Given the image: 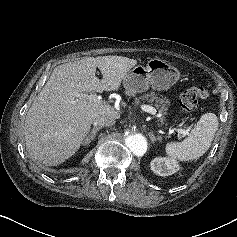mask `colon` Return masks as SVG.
I'll use <instances>...</instances> for the list:
<instances>
[{"mask_svg": "<svg viewBox=\"0 0 237 237\" xmlns=\"http://www.w3.org/2000/svg\"><path fill=\"white\" fill-rule=\"evenodd\" d=\"M210 98V92L203 87H191L185 90L180 97V107L183 112L191 113L197 110L198 100H207Z\"/></svg>", "mask_w": 237, "mask_h": 237, "instance_id": "5ec220e1", "label": "colon"}]
</instances>
